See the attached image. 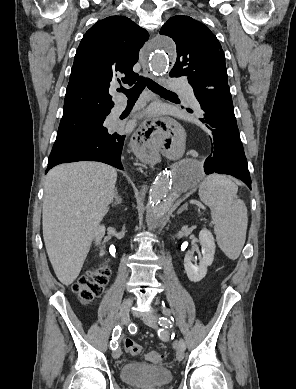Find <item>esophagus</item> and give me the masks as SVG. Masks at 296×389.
Returning a JSON list of instances; mask_svg holds the SVG:
<instances>
[{
	"label": "esophagus",
	"mask_w": 296,
	"mask_h": 389,
	"mask_svg": "<svg viewBox=\"0 0 296 389\" xmlns=\"http://www.w3.org/2000/svg\"><path fill=\"white\" fill-rule=\"evenodd\" d=\"M139 60L142 66L143 74L146 77L152 78V73L147 64L143 51L140 52ZM183 129V120L176 118L173 121H157L153 117V113L145 122H140L135 128V135L132 136L131 144L143 163H154L158 165L162 155L159 150H156L157 139H171L177 131Z\"/></svg>",
	"instance_id": "34e87169"
}]
</instances>
